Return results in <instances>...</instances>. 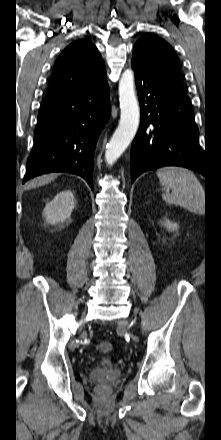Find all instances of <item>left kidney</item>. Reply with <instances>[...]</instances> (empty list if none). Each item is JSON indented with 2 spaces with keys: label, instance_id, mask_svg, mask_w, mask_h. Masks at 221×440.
<instances>
[{
  "label": "left kidney",
  "instance_id": "obj_1",
  "mask_svg": "<svg viewBox=\"0 0 221 440\" xmlns=\"http://www.w3.org/2000/svg\"><path fill=\"white\" fill-rule=\"evenodd\" d=\"M163 224L168 231H175L179 228L177 223L171 222L169 219H165Z\"/></svg>",
  "mask_w": 221,
  "mask_h": 440
}]
</instances>
